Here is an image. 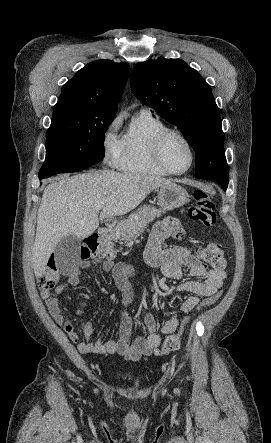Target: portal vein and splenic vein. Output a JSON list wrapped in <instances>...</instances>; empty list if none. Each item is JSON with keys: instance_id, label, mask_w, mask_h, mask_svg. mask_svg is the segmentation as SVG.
Instances as JSON below:
<instances>
[{"instance_id": "1", "label": "portal vein and splenic vein", "mask_w": 271, "mask_h": 443, "mask_svg": "<svg viewBox=\"0 0 271 443\" xmlns=\"http://www.w3.org/2000/svg\"><path fill=\"white\" fill-rule=\"evenodd\" d=\"M106 202L107 200H100V202H96V204L93 206L94 210H96V212H100L103 206H105Z\"/></svg>"}]
</instances>
